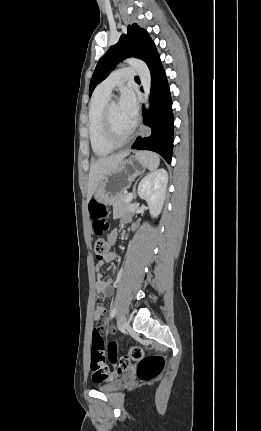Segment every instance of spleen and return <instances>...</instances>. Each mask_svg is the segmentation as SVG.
Instances as JSON below:
<instances>
[{
  "label": "spleen",
  "instance_id": "obj_1",
  "mask_svg": "<svg viewBox=\"0 0 261 431\" xmlns=\"http://www.w3.org/2000/svg\"><path fill=\"white\" fill-rule=\"evenodd\" d=\"M137 154L149 170L154 171L159 166L160 159L157 154L152 152H140Z\"/></svg>",
  "mask_w": 261,
  "mask_h": 431
}]
</instances>
